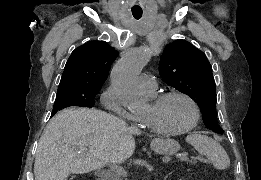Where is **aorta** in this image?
<instances>
[{"instance_id": "762f6f07", "label": "aorta", "mask_w": 261, "mask_h": 180, "mask_svg": "<svg viewBox=\"0 0 261 180\" xmlns=\"http://www.w3.org/2000/svg\"><path fill=\"white\" fill-rule=\"evenodd\" d=\"M149 58V50L140 47L125 54L111 71V83L115 94L121 105L129 110H138L144 105L137 80Z\"/></svg>"}]
</instances>
